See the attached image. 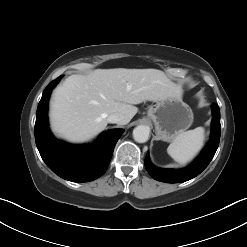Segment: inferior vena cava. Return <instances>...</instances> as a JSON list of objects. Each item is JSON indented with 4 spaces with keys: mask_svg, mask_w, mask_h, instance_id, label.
<instances>
[{
    "mask_svg": "<svg viewBox=\"0 0 247 247\" xmlns=\"http://www.w3.org/2000/svg\"><path fill=\"white\" fill-rule=\"evenodd\" d=\"M109 123L125 124L127 122L126 117L121 113H113L107 117Z\"/></svg>",
    "mask_w": 247,
    "mask_h": 247,
    "instance_id": "inferior-vena-cava-1",
    "label": "inferior vena cava"
}]
</instances>
